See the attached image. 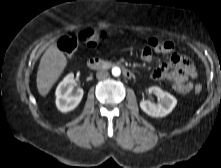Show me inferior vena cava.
Returning a JSON list of instances; mask_svg holds the SVG:
<instances>
[{
  "label": "inferior vena cava",
  "mask_w": 221,
  "mask_h": 168,
  "mask_svg": "<svg viewBox=\"0 0 221 168\" xmlns=\"http://www.w3.org/2000/svg\"><path fill=\"white\" fill-rule=\"evenodd\" d=\"M108 71L107 70H99V71H97V73H96V77H97V79H99V80H102V79H105V78H107L108 77Z\"/></svg>",
  "instance_id": "1"
}]
</instances>
